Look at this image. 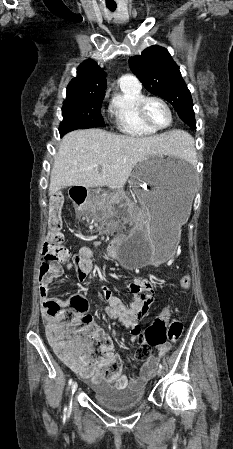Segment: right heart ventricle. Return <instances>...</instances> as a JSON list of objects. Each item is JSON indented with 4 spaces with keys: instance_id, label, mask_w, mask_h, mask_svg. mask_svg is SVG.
Instances as JSON below:
<instances>
[{
    "instance_id": "right-heart-ventricle-1",
    "label": "right heart ventricle",
    "mask_w": 233,
    "mask_h": 449,
    "mask_svg": "<svg viewBox=\"0 0 233 449\" xmlns=\"http://www.w3.org/2000/svg\"><path fill=\"white\" fill-rule=\"evenodd\" d=\"M119 86L120 90L114 95L108 108L117 129L137 138L154 135L156 132L147 128L138 117V104L145 97L142 88L121 83Z\"/></svg>"
}]
</instances>
